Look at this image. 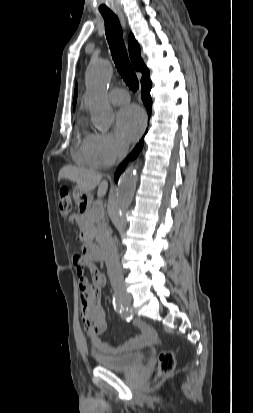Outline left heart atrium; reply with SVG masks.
<instances>
[{
  "instance_id": "1",
  "label": "left heart atrium",
  "mask_w": 253,
  "mask_h": 413,
  "mask_svg": "<svg viewBox=\"0 0 253 413\" xmlns=\"http://www.w3.org/2000/svg\"><path fill=\"white\" fill-rule=\"evenodd\" d=\"M144 125V112L137 105L125 106L116 115V131L119 138L124 142H131L137 139Z\"/></svg>"
}]
</instances>
